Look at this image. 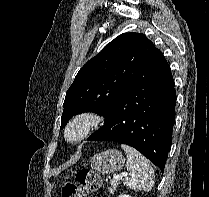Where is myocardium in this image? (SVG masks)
Returning <instances> with one entry per match:
<instances>
[{"mask_svg": "<svg viewBox=\"0 0 209 197\" xmlns=\"http://www.w3.org/2000/svg\"><path fill=\"white\" fill-rule=\"evenodd\" d=\"M104 123V117L96 111L83 110L71 117L63 130V139L69 145H77L91 136Z\"/></svg>", "mask_w": 209, "mask_h": 197, "instance_id": "1", "label": "myocardium"}]
</instances>
